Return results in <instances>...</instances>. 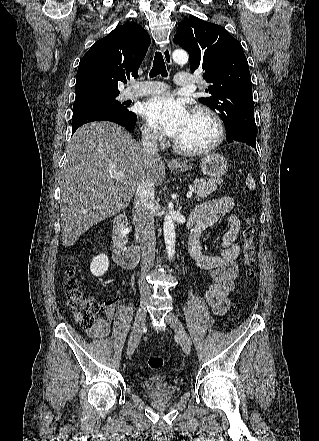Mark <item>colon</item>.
<instances>
[{"instance_id": "5ec220e1", "label": "colon", "mask_w": 319, "mask_h": 441, "mask_svg": "<svg viewBox=\"0 0 319 441\" xmlns=\"http://www.w3.org/2000/svg\"><path fill=\"white\" fill-rule=\"evenodd\" d=\"M254 220L248 218L242 230L243 238V264L245 275L248 279L254 278L255 266V230ZM66 280L64 289L66 293L67 305L75 317L76 321L84 328H92L95 325V316L99 310L97 303L88 299L75 278V268L70 265L66 268ZM164 365V360L159 356H152L148 359V366L152 370H160Z\"/></svg>"}]
</instances>
